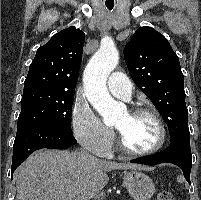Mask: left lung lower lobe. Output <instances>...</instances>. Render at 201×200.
I'll return each mask as SVG.
<instances>
[{
	"mask_svg": "<svg viewBox=\"0 0 201 200\" xmlns=\"http://www.w3.org/2000/svg\"><path fill=\"white\" fill-rule=\"evenodd\" d=\"M132 163L156 165L160 163H172L179 166L185 179L190 184V172L192 155L190 149V135H183L171 140L170 145L158 154L131 160Z\"/></svg>",
	"mask_w": 201,
	"mask_h": 200,
	"instance_id": "obj_1",
	"label": "left lung lower lobe"
}]
</instances>
